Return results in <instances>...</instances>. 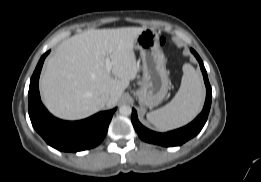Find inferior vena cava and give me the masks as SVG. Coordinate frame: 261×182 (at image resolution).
<instances>
[{
	"label": "inferior vena cava",
	"mask_w": 261,
	"mask_h": 182,
	"mask_svg": "<svg viewBox=\"0 0 261 182\" xmlns=\"http://www.w3.org/2000/svg\"><path fill=\"white\" fill-rule=\"evenodd\" d=\"M110 99V96L109 95H106L105 96V100L108 101Z\"/></svg>",
	"instance_id": "1"
}]
</instances>
